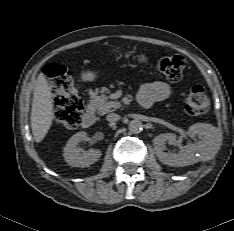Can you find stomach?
Segmentation results:
<instances>
[{"label":"stomach","mask_w":234,"mask_h":231,"mask_svg":"<svg viewBox=\"0 0 234 231\" xmlns=\"http://www.w3.org/2000/svg\"><path fill=\"white\" fill-rule=\"evenodd\" d=\"M98 77V74L97 72H94V71H86L83 73L82 75V78L85 80V81H93L95 80L96 78Z\"/></svg>","instance_id":"1"}]
</instances>
